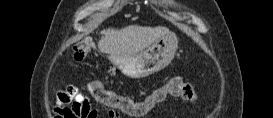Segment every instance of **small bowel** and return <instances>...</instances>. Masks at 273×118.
Masks as SVG:
<instances>
[{
    "label": "small bowel",
    "instance_id": "small-bowel-1",
    "mask_svg": "<svg viewBox=\"0 0 273 118\" xmlns=\"http://www.w3.org/2000/svg\"><path fill=\"white\" fill-rule=\"evenodd\" d=\"M183 99L193 102L188 97ZM59 100L62 103L70 104V107L58 110V115L63 118H97L99 116V110L92 106L88 97L80 93L76 86L68 87ZM108 114L111 118L118 116L114 108H110Z\"/></svg>",
    "mask_w": 273,
    "mask_h": 118
}]
</instances>
